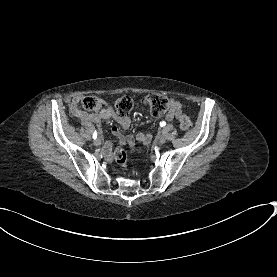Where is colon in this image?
Masks as SVG:
<instances>
[{"label":"colon","mask_w":277,"mask_h":277,"mask_svg":"<svg viewBox=\"0 0 277 277\" xmlns=\"http://www.w3.org/2000/svg\"><path fill=\"white\" fill-rule=\"evenodd\" d=\"M98 101V94H85L82 105L84 108L94 110L99 105ZM139 104L156 117H161L168 111L174 110L180 129L187 131L191 127L190 118L180 108L174 107L172 98L167 95L148 93L139 98L120 96L113 100V108L121 118L126 117L132 108ZM115 160L122 166L126 164L127 154L123 147L120 146L115 150Z\"/></svg>","instance_id":"colon-1"}]
</instances>
